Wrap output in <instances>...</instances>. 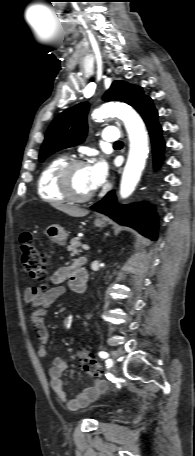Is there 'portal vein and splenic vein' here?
<instances>
[{
  "label": "portal vein and splenic vein",
  "instance_id": "1",
  "mask_svg": "<svg viewBox=\"0 0 195 456\" xmlns=\"http://www.w3.org/2000/svg\"><path fill=\"white\" fill-rule=\"evenodd\" d=\"M82 249H83V250H89L90 248H89L88 245H82Z\"/></svg>",
  "mask_w": 195,
  "mask_h": 456
}]
</instances>
